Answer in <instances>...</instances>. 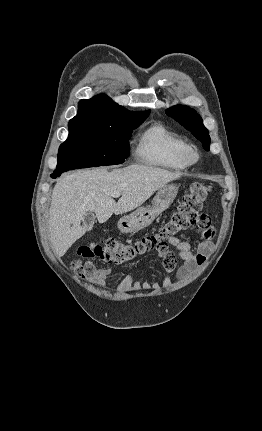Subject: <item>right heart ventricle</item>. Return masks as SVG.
<instances>
[{
	"label": "right heart ventricle",
	"instance_id": "right-heart-ventricle-1",
	"mask_svg": "<svg viewBox=\"0 0 262 431\" xmlns=\"http://www.w3.org/2000/svg\"><path fill=\"white\" fill-rule=\"evenodd\" d=\"M191 147L179 134L165 125L155 123L140 135L136 156L145 164L169 170H184L189 165L184 154Z\"/></svg>",
	"mask_w": 262,
	"mask_h": 431
}]
</instances>
